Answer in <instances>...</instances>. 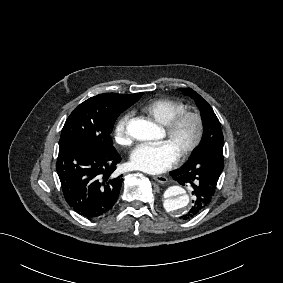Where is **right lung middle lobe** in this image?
<instances>
[{
	"mask_svg": "<svg viewBox=\"0 0 283 283\" xmlns=\"http://www.w3.org/2000/svg\"><path fill=\"white\" fill-rule=\"evenodd\" d=\"M142 95L105 93L87 99L66 120L60 144L83 141L99 149H113L110 134L117 117Z\"/></svg>",
	"mask_w": 283,
	"mask_h": 283,
	"instance_id": "dd1d6c3e",
	"label": "right lung middle lobe"
}]
</instances>
